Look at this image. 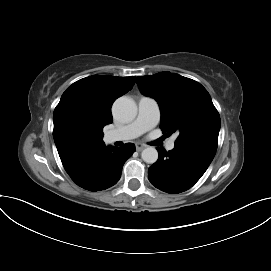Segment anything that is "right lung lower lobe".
<instances>
[{"instance_id": "right-lung-lower-lobe-1", "label": "right lung lower lobe", "mask_w": 271, "mask_h": 271, "mask_svg": "<svg viewBox=\"0 0 271 271\" xmlns=\"http://www.w3.org/2000/svg\"><path fill=\"white\" fill-rule=\"evenodd\" d=\"M134 152L135 145L132 143L123 147L106 146L97 156L69 173V176L86 190L107 189L120 179L123 164Z\"/></svg>"}]
</instances>
